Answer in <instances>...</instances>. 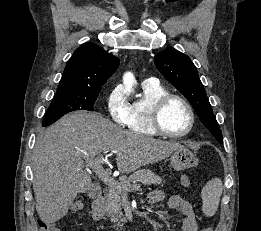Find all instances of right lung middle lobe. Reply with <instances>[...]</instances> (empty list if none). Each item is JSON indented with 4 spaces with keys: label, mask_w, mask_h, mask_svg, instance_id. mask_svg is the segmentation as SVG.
<instances>
[{
    "label": "right lung middle lobe",
    "mask_w": 261,
    "mask_h": 231,
    "mask_svg": "<svg viewBox=\"0 0 261 231\" xmlns=\"http://www.w3.org/2000/svg\"><path fill=\"white\" fill-rule=\"evenodd\" d=\"M100 90L57 91L46 114L43 126H49L60 117L76 110L93 111Z\"/></svg>",
    "instance_id": "dd1d6c3e"
}]
</instances>
